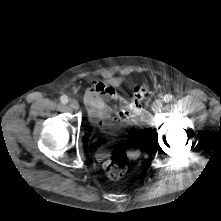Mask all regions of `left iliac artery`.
<instances>
[{
  "label": "left iliac artery",
  "instance_id": "44dca946",
  "mask_svg": "<svg viewBox=\"0 0 221 221\" xmlns=\"http://www.w3.org/2000/svg\"><path fill=\"white\" fill-rule=\"evenodd\" d=\"M173 95L167 94L163 97L164 102H170L173 99Z\"/></svg>",
  "mask_w": 221,
  "mask_h": 221
}]
</instances>
